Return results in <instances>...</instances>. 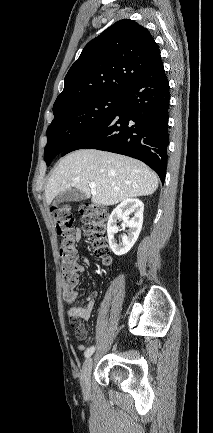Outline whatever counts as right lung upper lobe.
<instances>
[{"label": "right lung upper lobe", "mask_w": 213, "mask_h": 433, "mask_svg": "<svg viewBox=\"0 0 213 433\" xmlns=\"http://www.w3.org/2000/svg\"><path fill=\"white\" fill-rule=\"evenodd\" d=\"M160 58L150 32L135 21H117L83 49L64 79L53 112L97 95H122Z\"/></svg>", "instance_id": "cb5924a9"}]
</instances>
